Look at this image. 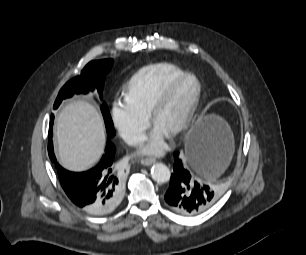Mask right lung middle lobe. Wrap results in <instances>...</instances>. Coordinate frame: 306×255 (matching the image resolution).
Returning <instances> with one entry per match:
<instances>
[{
  "label": "right lung middle lobe",
  "instance_id": "dd1d6c3e",
  "mask_svg": "<svg viewBox=\"0 0 306 255\" xmlns=\"http://www.w3.org/2000/svg\"><path fill=\"white\" fill-rule=\"evenodd\" d=\"M112 65V59L92 61L88 63L82 70L80 76L73 78L62 87L54 103V109L60 105L63 99L69 98L75 93H88V91H93L94 89L97 90L102 99L105 75L110 71ZM101 111L104 117L108 137H112L115 135V130L105 102H103L101 106ZM51 118L53 120V117ZM48 151L50 155V150Z\"/></svg>",
  "mask_w": 306,
  "mask_h": 255
}]
</instances>
